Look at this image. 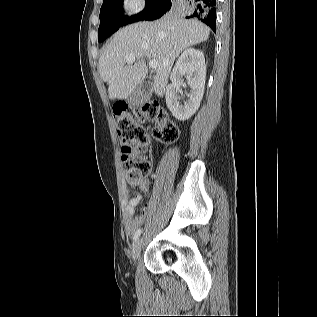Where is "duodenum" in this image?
<instances>
[{
    "label": "duodenum",
    "mask_w": 317,
    "mask_h": 317,
    "mask_svg": "<svg viewBox=\"0 0 317 317\" xmlns=\"http://www.w3.org/2000/svg\"><path fill=\"white\" fill-rule=\"evenodd\" d=\"M132 105H135V102H132ZM138 105H140L142 108H145L147 106V103L145 101L138 102ZM133 109H136V106H133Z\"/></svg>",
    "instance_id": "duodenum-1"
}]
</instances>
